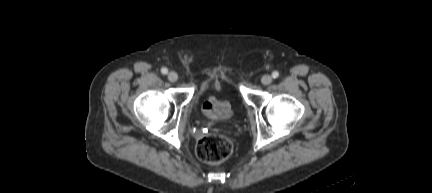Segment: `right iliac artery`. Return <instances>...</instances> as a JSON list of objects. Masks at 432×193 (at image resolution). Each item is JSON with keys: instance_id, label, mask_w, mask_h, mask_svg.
Here are the masks:
<instances>
[{"instance_id": "right-iliac-artery-1", "label": "right iliac artery", "mask_w": 432, "mask_h": 193, "mask_svg": "<svg viewBox=\"0 0 432 193\" xmlns=\"http://www.w3.org/2000/svg\"><path fill=\"white\" fill-rule=\"evenodd\" d=\"M161 73L164 74V75L167 74V73H168L167 68H162V69H161Z\"/></svg>"}]
</instances>
